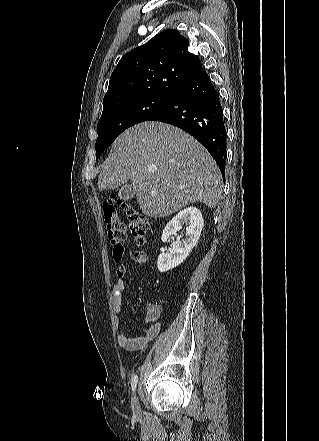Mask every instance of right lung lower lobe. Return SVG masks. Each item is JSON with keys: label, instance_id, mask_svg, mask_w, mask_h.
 <instances>
[{"label": "right lung lower lobe", "instance_id": "1", "mask_svg": "<svg viewBox=\"0 0 319 441\" xmlns=\"http://www.w3.org/2000/svg\"><path fill=\"white\" fill-rule=\"evenodd\" d=\"M148 121L169 123L188 132L208 150L224 174L227 136L223 110L205 70L185 82Z\"/></svg>", "mask_w": 319, "mask_h": 441}]
</instances>
